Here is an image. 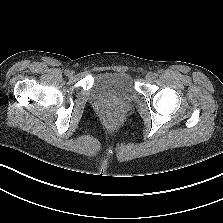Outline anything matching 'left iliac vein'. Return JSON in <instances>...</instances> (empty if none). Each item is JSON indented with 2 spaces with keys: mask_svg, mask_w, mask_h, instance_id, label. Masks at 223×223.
<instances>
[{
  "mask_svg": "<svg viewBox=\"0 0 223 223\" xmlns=\"http://www.w3.org/2000/svg\"><path fill=\"white\" fill-rule=\"evenodd\" d=\"M154 78H155V77H154V73H152V72L147 73L146 76H145V79H146L148 82L152 81Z\"/></svg>",
  "mask_w": 223,
  "mask_h": 223,
  "instance_id": "obj_1",
  "label": "left iliac vein"
}]
</instances>
